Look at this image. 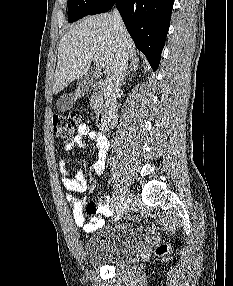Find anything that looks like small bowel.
<instances>
[{
    "mask_svg": "<svg viewBox=\"0 0 233 286\" xmlns=\"http://www.w3.org/2000/svg\"><path fill=\"white\" fill-rule=\"evenodd\" d=\"M93 142L97 149V157L93 165L96 175L102 174L105 168L108 151V140L97 129L92 128L87 123H81L77 128V134L65 145L69 150L75 147H85L84 138ZM59 171L64 188L70 193L66 198L72 210V217L75 226L82 228L86 233H92L99 229L104 223V216L109 213V197H103L99 201L89 202L86 207L84 202L78 199L72 192H84L87 189V179L81 170L72 173L63 161L59 163ZM85 212L91 216L90 221H86Z\"/></svg>",
    "mask_w": 233,
    "mask_h": 286,
    "instance_id": "small-bowel-1",
    "label": "small bowel"
}]
</instances>
